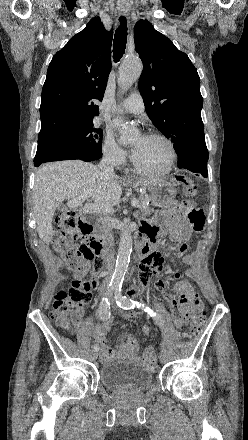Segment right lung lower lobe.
Returning <instances> with one entry per match:
<instances>
[{"mask_svg": "<svg viewBox=\"0 0 248 440\" xmlns=\"http://www.w3.org/2000/svg\"><path fill=\"white\" fill-rule=\"evenodd\" d=\"M73 159H79V160H83V161H86V162H90V161L98 160V159H95V158H92V157H77V158H73ZM68 160H69V159H68ZM40 164H42V163H37V164L34 163V165H35L36 167L39 166Z\"/></svg>", "mask_w": 248, "mask_h": 440, "instance_id": "98d812e1", "label": "right lung lower lobe"}]
</instances>
